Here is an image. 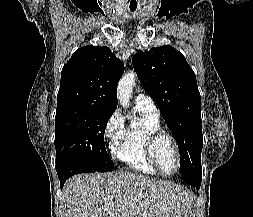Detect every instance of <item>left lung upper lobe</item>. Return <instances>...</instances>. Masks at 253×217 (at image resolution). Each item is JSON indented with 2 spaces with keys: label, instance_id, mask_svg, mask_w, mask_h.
I'll return each instance as SVG.
<instances>
[{
  "label": "left lung upper lobe",
  "instance_id": "left-lung-upper-lobe-1",
  "mask_svg": "<svg viewBox=\"0 0 253 217\" xmlns=\"http://www.w3.org/2000/svg\"><path fill=\"white\" fill-rule=\"evenodd\" d=\"M132 63L178 144L182 179L188 184L201 179V98L194 71L169 45L139 52Z\"/></svg>",
  "mask_w": 253,
  "mask_h": 217
}]
</instances>
